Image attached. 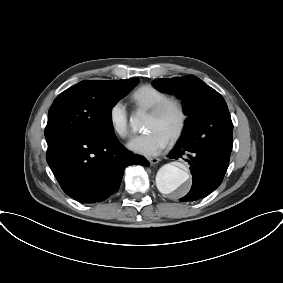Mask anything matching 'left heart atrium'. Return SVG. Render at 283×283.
Instances as JSON below:
<instances>
[{
	"label": "left heart atrium",
	"instance_id": "1",
	"mask_svg": "<svg viewBox=\"0 0 283 283\" xmlns=\"http://www.w3.org/2000/svg\"><path fill=\"white\" fill-rule=\"evenodd\" d=\"M168 143V137L157 130H149L135 136L128 143V148L144 156H154L161 152Z\"/></svg>",
	"mask_w": 283,
	"mask_h": 283
}]
</instances>
